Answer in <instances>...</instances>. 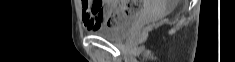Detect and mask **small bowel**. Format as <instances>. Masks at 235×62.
I'll list each match as a JSON object with an SVG mask.
<instances>
[{
  "mask_svg": "<svg viewBox=\"0 0 235 62\" xmlns=\"http://www.w3.org/2000/svg\"><path fill=\"white\" fill-rule=\"evenodd\" d=\"M123 5L127 9V14H131L134 12L133 6L135 5V3L123 2ZM81 6L82 18L84 26L87 30L93 31L102 26L103 22L108 23L111 3H109L106 8L102 9H96L95 3H92L90 1H82Z\"/></svg>",
  "mask_w": 235,
  "mask_h": 62,
  "instance_id": "obj_1",
  "label": "small bowel"
}]
</instances>
